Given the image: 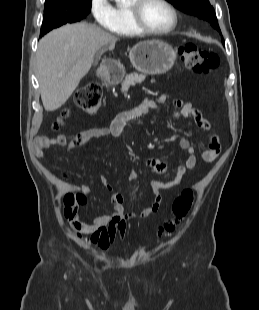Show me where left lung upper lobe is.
<instances>
[{"label": "left lung upper lobe", "instance_id": "left-lung-upper-lobe-1", "mask_svg": "<svg viewBox=\"0 0 259 310\" xmlns=\"http://www.w3.org/2000/svg\"><path fill=\"white\" fill-rule=\"evenodd\" d=\"M172 3L176 8L186 14L197 16L201 19L207 20L210 24L218 30L220 28L214 12L213 7L210 5L209 0H167ZM223 41V38H222Z\"/></svg>", "mask_w": 259, "mask_h": 310}]
</instances>
